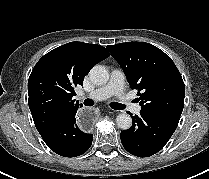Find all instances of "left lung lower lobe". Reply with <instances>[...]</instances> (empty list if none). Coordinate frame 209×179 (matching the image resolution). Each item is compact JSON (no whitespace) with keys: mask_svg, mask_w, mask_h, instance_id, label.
<instances>
[{"mask_svg":"<svg viewBox=\"0 0 209 179\" xmlns=\"http://www.w3.org/2000/svg\"><path fill=\"white\" fill-rule=\"evenodd\" d=\"M180 116L140 111L132 116L133 124L121 132L123 147L138 157H149L160 151L177 128Z\"/></svg>","mask_w":209,"mask_h":179,"instance_id":"obj_1","label":"left lung lower lobe"}]
</instances>
